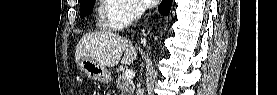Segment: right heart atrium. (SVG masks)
Returning a JSON list of instances; mask_svg holds the SVG:
<instances>
[{
    "instance_id": "d8ad5b80",
    "label": "right heart atrium",
    "mask_w": 277,
    "mask_h": 95,
    "mask_svg": "<svg viewBox=\"0 0 277 95\" xmlns=\"http://www.w3.org/2000/svg\"><path fill=\"white\" fill-rule=\"evenodd\" d=\"M120 4V9L116 14L115 28L121 29L134 21L141 14V7L135 0H115Z\"/></svg>"
}]
</instances>
